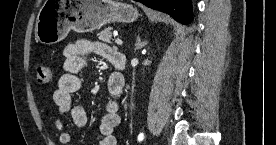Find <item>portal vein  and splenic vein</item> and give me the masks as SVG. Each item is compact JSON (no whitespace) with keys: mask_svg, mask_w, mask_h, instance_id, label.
<instances>
[{"mask_svg":"<svg viewBox=\"0 0 276 145\" xmlns=\"http://www.w3.org/2000/svg\"><path fill=\"white\" fill-rule=\"evenodd\" d=\"M115 42H116L117 45H122V44H123L122 40L119 39V38H117V39L115 40Z\"/></svg>","mask_w":276,"mask_h":145,"instance_id":"1","label":"portal vein and splenic vein"}]
</instances>
